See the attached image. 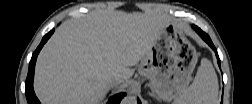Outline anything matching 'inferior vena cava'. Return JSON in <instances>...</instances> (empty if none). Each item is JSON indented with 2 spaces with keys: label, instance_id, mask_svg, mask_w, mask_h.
I'll use <instances>...</instances> for the list:
<instances>
[{
  "label": "inferior vena cava",
  "instance_id": "602c4592",
  "mask_svg": "<svg viewBox=\"0 0 252 104\" xmlns=\"http://www.w3.org/2000/svg\"><path fill=\"white\" fill-rule=\"evenodd\" d=\"M120 82H121L120 77H114V78L110 79L109 86H110V88H113V87L117 86Z\"/></svg>",
  "mask_w": 252,
  "mask_h": 104
}]
</instances>
